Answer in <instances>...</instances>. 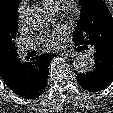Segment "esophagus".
<instances>
[{
	"label": "esophagus",
	"instance_id": "obj_1",
	"mask_svg": "<svg viewBox=\"0 0 113 113\" xmlns=\"http://www.w3.org/2000/svg\"><path fill=\"white\" fill-rule=\"evenodd\" d=\"M63 54L67 55L68 57H74L77 55V52L74 50H66L63 52Z\"/></svg>",
	"mask_w": 113,
	"mask_h": 113
}]
</instances>
